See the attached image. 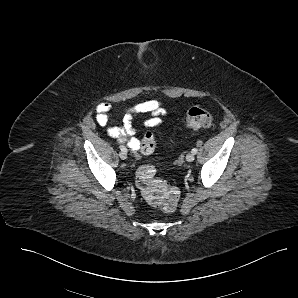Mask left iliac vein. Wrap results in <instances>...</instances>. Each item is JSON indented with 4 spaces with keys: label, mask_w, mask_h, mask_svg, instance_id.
<instances>
[{
    "label": "left iliac vein",
    "mask_w": 298,
    "mask_h": 298,
    "mask_svg": "<svg viewBox=\"0 0 298 298\" xmlns=\"http://www.w3.org/2000/svg\"><path fill=\"white\" fill-rule=\"evenodd\" d=\"M194 158H195V156H194L193 153H188V154L186 155V160H187L188 162H192V161L194 160Z\"/></svg>",
    "instance_id": "obj_1"
}]
</instances>
